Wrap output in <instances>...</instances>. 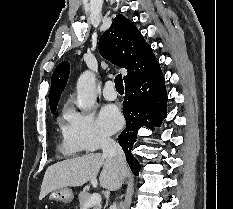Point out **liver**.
I'll return each instance as SVG.
<instances>
[{
    "label": "liver",
    "mask_w": 233,
    "mask_h": 209,
    "mask_svg": "<svg viewBox=\"0 0 233 209\" xmlns=\"http://www.w3.org/2000/svg\"><path fill=\"white\" fill-rule=\"evenodd\" d=\"M101 167H103L99 175L101 187L110 191L117 190L122 184V174L118 164L99 153H91L49 166L44 174L39 200L53 190L78 187L88 181L96 180ZM127 173L128 169L125 166V177Z\"/></svg>",
    "instance_id": "obj_1"
}]
</instances>
